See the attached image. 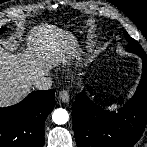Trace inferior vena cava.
<instances>
[{"instance_id":"1","label":"inferior vena cava","mask_w":147,"mask_h":147,"mask_svg":"<svg viewBox=\"0 0 147 147\" xmlns=\"http://www.w3.org/2000/svg\"><path fill=\"white\" fill-rule=\"evenodd\" d=\"M34 86L39 90H48L52 86V80L50 77H40L34 82Z\"/></svg>"}]
</instances>
